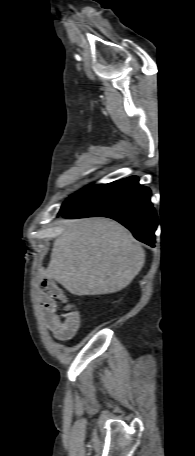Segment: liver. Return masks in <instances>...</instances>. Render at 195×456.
Segmentation results:
<instances>
[{
	"label": "liver",
	"instance_id": "6515ba94",
	"mask_svg": "<svg viewBox=\"0 0 195 456\" xmlns=\"http://www.w3.org/2000/svg\"><path fill=\"white\" fill-rule=\"evenodd\" d=\"M44 277L71 294L105 295L127 287L145 263V251L116 221L89 218L60 221Z\"/></svg>",
	"mask_w": 195,
	"mask_h": 456
}]
</instances>
